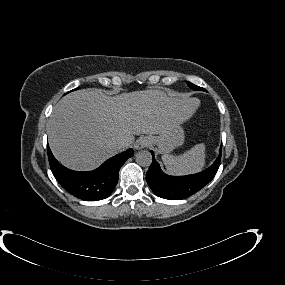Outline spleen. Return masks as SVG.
I'll use <instances>...</instances> for the list:
<instances>
[{
    "label": "spleen",
    "instance_id": "3e777b00",
    "mask_svg": "<svg viewBox=\"0 0 285 285\" xmlns=\"http://www.w3.org/2000/svg\"><path fill=\"white\" fill-rule=\"evenodd\" d=\"M205 145L197 144L182 155L162 157L166 171L172 175H185L200 172L205 166Z\"/></svg>",
    "mask_w": 285,
    "mask_h": 285
}]
</instances>
